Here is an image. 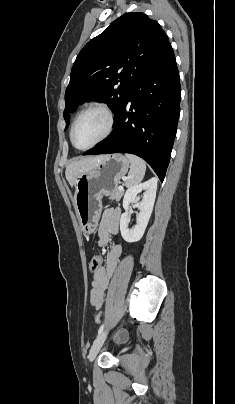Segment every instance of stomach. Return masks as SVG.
I'll list each match as a JSON object with an SVG mask.
<instances>
[{
    "label": "stomach",
    "instance_id": "0dacf381",
    "mask_svg": "<svg viewBox=\"0 0 235 404\" xmlns=\"http://www.w3.org/2000/svg\"><path fill=\"white\" fill-rule=\"evenodd\" d=\"M128 168L129 161L124 155L110 154L75 179L74 206L84 234L95 232L102 211V197L111 195Z\"/></svg>",
    "mask_w": 235,
    "mask_h": 404
}]
</instances>
